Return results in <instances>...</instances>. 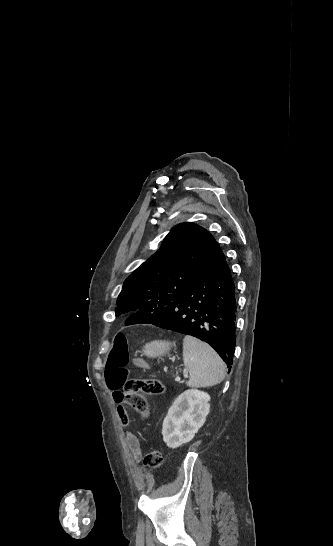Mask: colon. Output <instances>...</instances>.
I'll list each match as a JSON object with an SVG mask.
<instances>
[{"mask_svg":"<svg viewBox=\"0 0 333 546\" xmlns=\"http://www.w3.org/2000/svg\"><path fill=\"white\" fill-rule=\"evenodd\" d=\"M129 346L127 337L123 333L115 336L113 347L110 351L105 380L111 390L122 389V399L135 411L144 416L148 415V405L142 395L163 394L165 386L157 380L128 379ZM164 462V456L160 449H152L145 457V465L149 468H159Z\"/></svg>","mask_w":333,"mask_h":546,"instance_id":"obj_1","label":"colon"}]
</instances>
